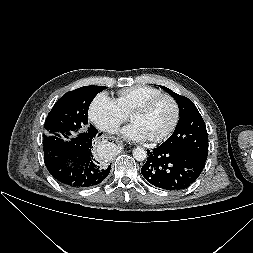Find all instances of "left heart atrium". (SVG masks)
I'll return each instance as SVG.
<instances>
[{"mask_svg": "<svg viewBox=\"0 0 253 253\" xmlns=\"http://www.w3.org/2000/svg\"><path fill=\"white\" fill-rule=\"evenodd\" d=\"M125 138L132 141H145L150 139L149 135L137 123L132 122L122 130Z\"/></svg>", "mask_w": 253, "mask_h": 253, "instance_id": "1", "label": "left heart atrium"}]
</instances>
